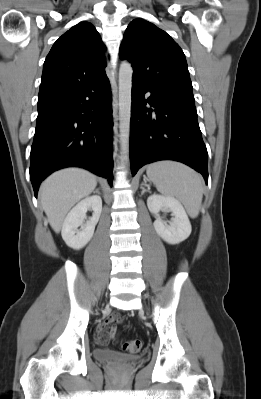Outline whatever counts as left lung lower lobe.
Wrapping results in <instances>:
<instances>
[{
  "label": "left lung lower lobe",
  "mask_w": 261,
  "mask_h": 399,
  "mask_svg": "<svg viewBox=\"0 0 261 399\" xmlns=\"http://www.w3.org/2000/svg\"><path fill=\"white\" fill-rule=\"evenodd\" d=\"M148 91L151 95L146 99L144 95ZM207 157L194 96L155 90L133 79L130 122L132 175L145 164L176 160L200 172L208 184Z\"/></svg>",
  "instance_id": "obj_1"
}]
</instances>
